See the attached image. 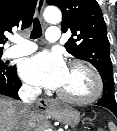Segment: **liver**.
Returning <instances> with one entry per match:
<instances>
[{"label": "liver", "mask_w": 117, "mask_h": 131, "mask_svg": "<svg viewBox=\"0 0 117 131\" xmlns=\"http://www.w3.org/2000/svg\"><path fill=\"white\" fill-rule=\"evenodd\" d=\"M37 113L30 112L25 119L26 128L31 129L36 125ZM22 117L19 102L6 97H0V131H17Z\"/></svg>", "instance_id": "liver-1"}]
</instances>
